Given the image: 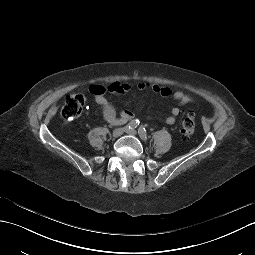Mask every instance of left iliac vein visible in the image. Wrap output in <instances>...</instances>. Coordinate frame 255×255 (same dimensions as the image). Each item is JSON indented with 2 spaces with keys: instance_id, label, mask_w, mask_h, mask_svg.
I'll list each match as a JSON object with an SVG mask.
<instances>
[{
  "instance_id": "obj_1",
  "label": "left iliac vein",
  "mask_w": 255,
  "mask_h": 255,
  "mask_svg": "<svg viewBox=\"0 0 255 255\" xmlns=\"http://www.w3.org/2000/svg\"><path fill=\"white\" fill-rule=\"evenodd\" d=\"M126 133L130 134V135H133V136H136L137 135V132L136 130L134 129H126Z\"/></svg>"
}]
</instances>
